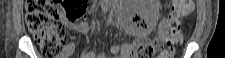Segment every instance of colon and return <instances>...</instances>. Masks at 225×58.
<instances>
[{"instance_id": "obj_1", "label": "colon", "mask_w": 225, "mask_h": 58, "mask_svg": "<svg viewBox=\"0 0 225 58\" xmlns=\"http://www.w3.org/2000/svg\"><path fill=\"white\" fill-rule=\"evenodd\" d=\"M62 4L64 6H62ZM86 1L59 2L57 0H28L26 3V25L41 51L48 57L57 56L67 37L61 17L75 21L85 14ZM64 11V15L61 11ZM193 11L192 1L174 0L171 14L161 25L157 37L151 43L136 47V58H150L156 53L169 54L175 43L182 38L181 20Z\"/></svg>"}]
</instances>
